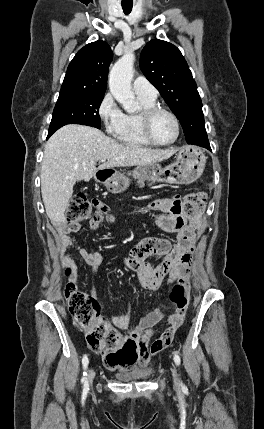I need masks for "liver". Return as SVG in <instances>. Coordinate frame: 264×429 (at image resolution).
Segmentation results:
<instances>
[{"label": "liver", "instance_id": "liver-1", "mask_svg": "<svg viewBox=\"0 0 264 429\" xmlns=\"http://www.w3.org/2000/svg\"><path fill=\"white\" fill-rule=\"evenodd\" d=\"M176 152L175 148L161 150L119 143L89 126H63L50 137L44 150L41 193L46 214L53 224L65 223L73 186L80 180L88 182L98 170L161 162ZM100 160L104 163L96 168Z\"/></svg>", "mask_w": 264, "mask_h": 429}]
</instances>
